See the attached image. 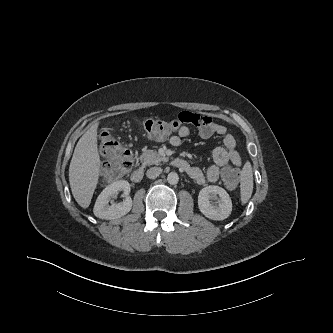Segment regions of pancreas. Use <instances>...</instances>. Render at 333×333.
<instances>
[{
	"instance_id": "cf45deb5",
	"label": "pancreas",
	"mask_w": 333,
	"mask_h": 333,
	"mask_svg": "<svg viewBox=\"0 0 333 333\" xmlns=\"http://www.w3.org/2000/svg\"><path fill=\"white\" fill-rule=\"evenodd\" d=\"M140 160L143 162L144 166H150L153 164L157 165L162 161L166 162L168 161V158L160 155L154 150H146L140 156Z\"/></svg>"
}]
</instances>
